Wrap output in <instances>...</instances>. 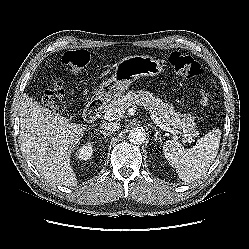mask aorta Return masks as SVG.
<instances>
[{"label": "aorta", "mask_w": 249, "mask_h": 249, "mask_svg": "<svg viewBox=\"0 0 249 249\" xmlns=\"http://www.w3.org/2000/svg\"><path fill=\"white\" fill-rule=\"evenodd\" d=\"M128 138L132 144L140 145L144 143L146 139V133L143 128L136 127L130 130Z\"/></svg>", "instance_id": "762f6f07"}]
</instances>
